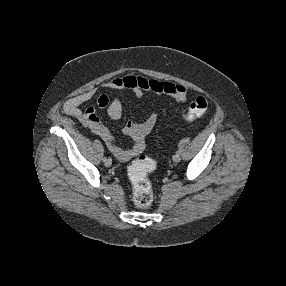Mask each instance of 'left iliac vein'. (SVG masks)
Wrapping results in <instances>:
<instances>
[{
    "mask_svg": "<svg viewBox=\"0 0 286 286\" xmlns=\"http://www.w3.org/2000/svg\"><path fill=\"white\" fill-rule=\"evenodd\" d=\"M180 160H181V157H180L179 154L173 155V161H174V162H179Z\"/></svg>",
    "mask_w": 286,
    "mask_h": 286,
    "instance_id": "1",
    "label": "left iliac vein"
}]
</instances>
